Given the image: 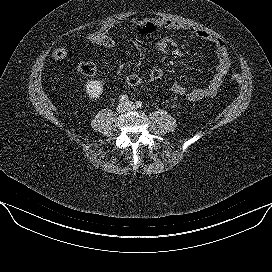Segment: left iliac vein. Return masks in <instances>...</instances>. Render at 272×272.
Instances as JSON below:
<instances>
[{"label": "left iliac vein", "mask_w": 272, "mask_h": 272, "mask_svg": "<svg viewBox=\"0 0 272 272\" xmlns=\"http://www.w3.org/2000/svg\"><path fill=\"white\" fill-rule=\"evenodd\" d=\"M126 109L127 110H135L136 105L133 102L129 101L128 103H126Z\"/></svg>", "instance_id": "4c4485c4"}]
</instances>
